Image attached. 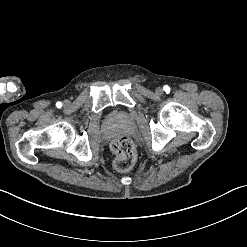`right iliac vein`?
<instances>
[{
	"label": "right iliac vein",
	"mask_w": 247,
	"mask_h": 247,
	"mask_svg": "<svg viewBox=\"0 0 247 247\" xmlns=\"http://www.w3.org/2000/svg\"><path fill=\"white\" fill-rule=\"evenodd\" d=\"M64 105H69V102L68 101H64Z\"/></svg>",
	"instance_id": "1"
}]
</instances>
